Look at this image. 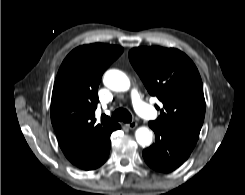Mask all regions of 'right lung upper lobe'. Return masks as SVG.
Wrapping results in <instances>:
<instances>
[{
    "label": "right lung upper lobe",
    "instance_id": "1",
    "mask_svg": "<svg viewBox=\"0 0 245 195\" xmlns=\"http://www.w3.org/2000/svg\"><path fill=\"white\" fill-rule=\"evenodd\" d=\"M123 52L101 43L71 51L61 64L52 92L51 122L66 158L75 166L99 167L102 145L119 124L102 115L96 122L98 86L104 71Z\"/></svg>",
    "mask_w": 245,
    "mask_h": 195
}]
</instances>
